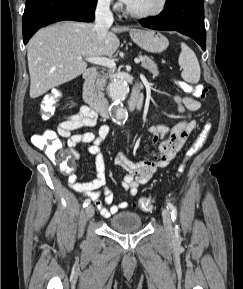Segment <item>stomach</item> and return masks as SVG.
Wrapping results in <instances>:
<instances>
[{"label":"stomach","instance_id":"0dacf381","mask_svg":"<svg viewBox=\"0 0 243 289\" xmlns=\"http://www.w3.org/2000/svg\"><path fill=\"white\" fill-rule=\"evenodd\" d=\"M130 36L139 47L151 53H160L169 45L164 35L153 30H135Z\"/></svg>","mask_w":243,"mask_h":289}]
</instances>
